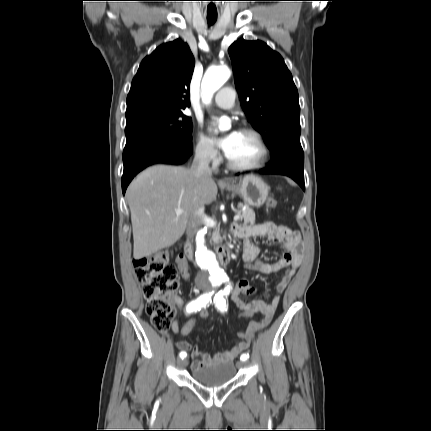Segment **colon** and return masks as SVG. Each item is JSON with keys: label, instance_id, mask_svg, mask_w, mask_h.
Listing matches in <instances>:
<instances>
[{"label": "colon", "instance_id": "5ec220e1", "mask_svg": "<svg viewBox=\"0 0 431 431\" xmlns=\"http://www.w3.org/2000/svg\"><path fill=\"white\" fill-rule=\"evenodd\" d=\"M276 206L273 199L266 202L267 209L271 210ZM135 275L141 284L143 294L146 298V312L151 324L158 330L164 331L169 325L173 316L171 295L179 287V277L176 267L169 262V255L165 252H158L147 257L134 260ZM199 315V316H198ZM189 316L188 321L180 330L181 338H188L193 330L197 328L199 322L206 325L209 322V314L205 309H201ZM236 322L240 319H254L253 310H242V314H235ZM239 339H244L245 331H238Z\"/></svg>", "mask_w": 431, "mask_h": 431}]
</instances>
